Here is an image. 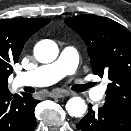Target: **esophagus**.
<instances>
[{
    "label": "esophagus",
    "instance_id": "34e87169",
    "mask_svg": "<svg viewBox=\"0 0 131 131\" xmlns=\"http://www.w3.org/2000/svg\"><path fill=\"white\" fill-rule=\"evenodd\" d=\"M68 95H71V93L70 92H63V91H56V92L51 93V97H53V98H61V97H65Z\"/></svg>",
    "mask_w": 131,
    "mask_h": 131
}]
</instances>
